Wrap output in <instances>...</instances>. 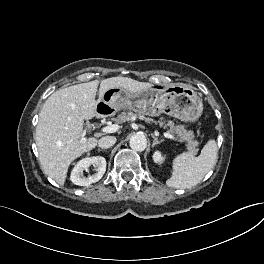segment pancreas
Returning a JSON list of instances; mask_svg holds the SVG:
<instances>
[{"label": "pancreas", "instance_id": "pancreas-1", "mask_svg": "<svg viewBox=\"0 0 264 264\" xmlns=\"http://www.w3.org/2000/svg\"><path fill=\"white\" fill-rule=\"evenodd\" d=\"M134 117H137L139 119L145 120L148 123H155L158 124L164 128H169V132L177 135L178 138L181 140L187 141V150L191 154H197L198 149L196 148L199 145V142L194 140V132L193 131H187L184 126L182 125H174L172 121H154L151 118H146L143 115L140 114H134L132 112L122 113L121 115H118L116 118L117 123H123L125 121H128Z\"/></svg>", "mask_w": 264, "mask_h": 264}]
</instances>
